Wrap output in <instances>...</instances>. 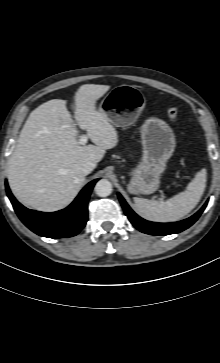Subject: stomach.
<instances>
[{"instance_id": "0dacf381", "label": "stomach", "mask_w": 220, "mask_h": 363, "mask_svg": "<svg viewBox=\"0 0 220 363\" xmlns=\"http://www.w3.org/2000/svg\"><path fill=\"white\" fill-rule=\"evenodd\" d=\"M146 106V98L135 86L114 87L101 101L98 111L117 127L130 126ZM142 158L130 172L128 191L152 194L160 185L161 175L172 156L176 141L172 129L163 120L150 117L141 128Z\"/></svg>"}]
</instances>
